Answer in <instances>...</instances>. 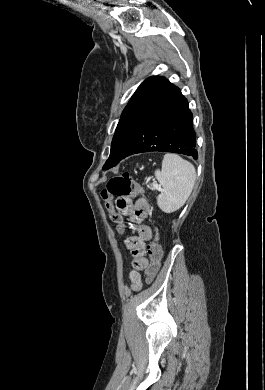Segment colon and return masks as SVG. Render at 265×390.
Here are the masks:
<instances>
[{"instance_id":"5ec220e1","label":"colon","mask_w":265,"mask_h":390,"mask_svg":"<svg viewBox=\"0 0 265 390\" xmlns=\"http://www.w3.org/2000/svg\"><path fill=\"white\" fill-rule=\"evenodd\" d=\"M143 192L140 184L135 182L128 173H120L111 178L106 187L101 191V198L104 201L105 208L109 213L110 220L122 229V215L117 211L112 198L126 197L129 195H139ZM147 253L150 263L146 267L147 280L150 282L158 273L161 266L162 250L155 237L147 246Z\"/></svg>"}]
</instances>
